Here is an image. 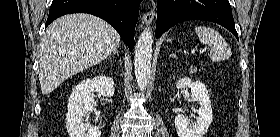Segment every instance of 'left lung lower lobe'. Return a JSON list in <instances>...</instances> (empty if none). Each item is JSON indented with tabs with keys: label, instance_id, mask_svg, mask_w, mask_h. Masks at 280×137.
I'll list each match as a JSON object with an SVG mask.
<instances>
[{
	"label": "left lung lower lobe",
	"instance_id": "0a47b994",
	"mask_svg": "<svg viewBox=\"0 0 280 137\" xmlns=\"http://www.w3.org/2000/svg\"><path fill=\"white\" fill-rule=\"evenodd\" d=\"M188 20L220 24L238 39L228 0H158L156 38L177 23Z\"/></svg>",
	"mask_w": 280,
	"mask_h": 137
}]
</instances>
